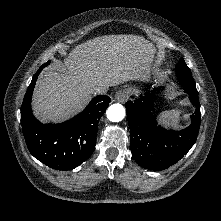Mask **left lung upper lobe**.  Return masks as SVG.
Segmentation results:
<instances>
[{
	"label": "left lung upper lobe",
	"instance_id": "5c2ea615",
	"mask_svg": "<svg viewBox=\"0 0 221 221\" xmlns=\"http://www.w3.org/2000/svg\"><path fill=\"white\" fill-rule=\"evenodd\" d=\"M175 70L177 73H191L183 58L179 60V63L176 65Z\"/></svg>",
	"mask_w": 221,
	"mask_h": 221
}]
</instances>
